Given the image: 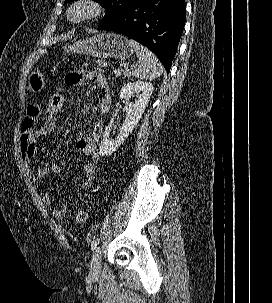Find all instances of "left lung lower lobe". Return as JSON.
<instances>
[{"instance_id":"1","label":"left lung lower lobe","mask_w":272,"mask_h":303,"mask_svg":"<svg viewBox=\"0 0 272 303\" xmlns=\"http://www.w3.org/2000/svg\"><path fill=\"white\" fill-rule=\"evenodd\" d=\"M185 14V0H138L97 29L136 40L154 52L169 72L184 29Z\"/></svg>"}]
</instances>
